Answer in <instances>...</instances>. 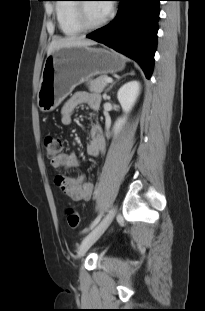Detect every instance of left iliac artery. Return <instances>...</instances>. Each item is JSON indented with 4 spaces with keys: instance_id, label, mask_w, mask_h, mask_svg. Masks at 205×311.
Here are the masks:
<instances>
[{
    "instance_id": "1",
    "label": "left iliac artery",
    "mask_w": 205,
    "mask_h": 311,
    "mask_svg": "<svg viewBox=\"0 0 205 311\" xmlns=\"http://www.w3.org/2000/svg\"><path fill=\"white\" fill-rule=\"evenodd\" d=\"M101 218H102V214H99V215L95 218V220L91 223L90 229H92L95 225H97L98 222L101 220Z\"/></svg>"
}]
</instances>
